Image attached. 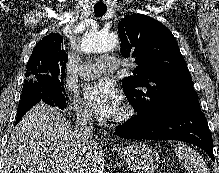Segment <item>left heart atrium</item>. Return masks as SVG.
<instances>
[{
  "label": "left heart atrium",
  "instance_id": "obj_1",
  "mask_svg": "<svg viewBox=\"0 0 219 173\" xmlns=\"http://www.w3.org/2000/svg\"><path fill=\"white\" fill-rule=\"evenodd\" d=\"M85 103L100 117L111 118L121 108V94L111 81H96L85 86Z\"/></svg>",
  "mask_w": 219,
  "mask_h": 173
}]
</instances>
